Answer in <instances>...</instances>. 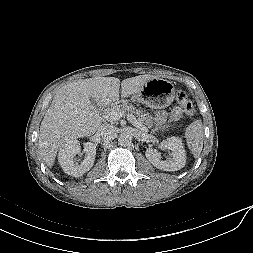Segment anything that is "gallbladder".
I'll list each match as a JSON object with an SVG mask.
<instances>
[{"label": "gallbladder", "instance_id": "bac80fb5", "mask_svg": "<svg viewBox=\"0 0 253 253\" xmlns=\"http://www.w3.org/2000/svg\"><path fill=\"white\" fill-rule=\"evenodd\" d=\"M90 102H91V104L95 107V108H98V104H97V102L94 100V98H92V97H90Z\"/></svg>", "mask_w": 253, "mask_h": 253}]
</instances>
